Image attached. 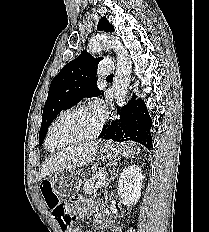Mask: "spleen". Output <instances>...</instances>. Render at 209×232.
I'll return each instance as SVG.
<instances>
[{
    "label": "spleen",
    "instance_id": "3e777b00",
    "mask_svg": "<svg viewBox=\"0 0 209 232\" xmlns=\"http://www.w3.org/2000/svg\"><path fill=\"white\" fill-rule=\"evenodd\" d=\"M137 151H138V152L140 151V148H139V147H137Z\"/></svg>",
    "mask_w": 209,
    "mask_h": 232
}]
</instances>
